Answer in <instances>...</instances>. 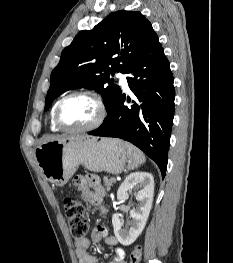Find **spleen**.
I'll return each mask as SVG.
<instances>
[{"mask_svg":"<svg viewBox=\"0 0 233 263\" xmlns=\"http://www.w3.org/2000/svg\"><path fill=\"white\" fill-rule=\"evenodd\" d=\"M125 147L129 159L128 169L134 170L146 161L144 154L138 148L127 142L125 143Z\"/></svg>","mask_w":233,"mask_h":263,"instance_id":"1","label":"spleen"}]
</instances>
